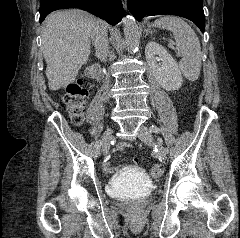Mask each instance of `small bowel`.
<instances>
[{"instance_id":"1","label":"small bowel","mask_w":240,"mask_h":238,"mask_svg":"<svg viewBox=\"0 0 240 238\" xmlns=\"http://www.w3.org/2000/svg\"><path fill=\"white\" fill-rule=\"evenodd\" d=\"M123 146H122L121 143H118L117 146L115 147V150L116 151H123V149H124ZM125 147L126 148H136L137 144L136 143H126ZM128 163H129V167H136V164L138 163V156H131V159L128 160ZM103 168L105 169L103 171L104 175H110L111 172H115L116 171V168L115 167H110L109 164H104ZM117 168L118 169H121V168L126 169L127 165L126 164H123V165L118 164Z\"/></svg>"}]
</instances>
